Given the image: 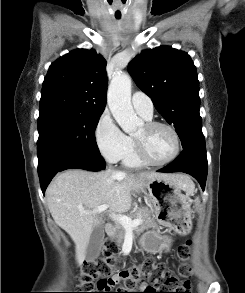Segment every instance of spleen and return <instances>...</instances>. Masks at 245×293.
I'll list each match as a JSON object with an SVG mask.
<instances>
[{"label":"spleen","instance_id":"spleen-1","mask_svg":"<svg viewBox=\"0 0 245 293\" xmlns=\"http://www.w3.org/2000/svg\"><path fill=\"white\" fill-rule=\"evenodd\" d=\"M192 190L193 189H191L190 191H192ZM190 191H188V192H190ZM195 206H196L197 209L199 208V206H200V200H199V198L196 199Z\"/></svg>","mask_w":245,"mask_h":293}]
</instances>
